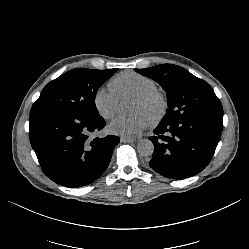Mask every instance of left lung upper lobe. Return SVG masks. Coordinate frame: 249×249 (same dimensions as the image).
<instances>
[{"mask_svg":"<svg viewBox=\"0 0 249 249\" xmlns=\"http://www.w3.org/2000/svg\"><path fill=\"white\" fill-rule=\"evenodd\" d=\"M135 71L155 80L166 91L168 109L161 122L169 123L185 117L223 115L221 102L212 87L186 69L162 64Z\"/></svg>","mask_w":249,"mask_h":249,"instance_id":"1","label":"left lung upper lobe"}]
</instances>
